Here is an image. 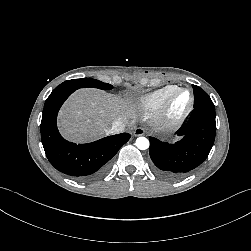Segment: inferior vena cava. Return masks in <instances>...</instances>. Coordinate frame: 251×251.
I'll use <instances>...</instances> for the list:
<instances>
[{
	"instance_id": "602c4592",
	"label": "inferior vena cava",
	"mask_w": 251,
	"mask_h": 251,
	"mask_svg": "<svg viewBox=\"0 0 251 251\" xmlns=\"http://www.w3.org/2000/svg\"><path fill=\"white\" fill-rule=\"evenodd\" d=\"M126 123L122 120H116L112 123V126L109 130L110 133H121L125 130Z\"/></svg>"
}]
</instances>
